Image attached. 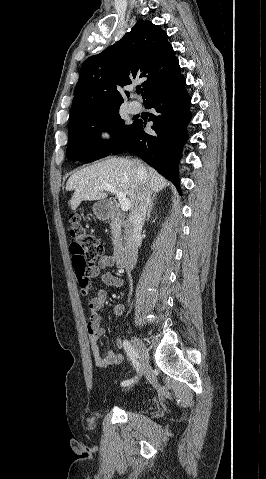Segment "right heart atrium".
<instances>
[{
	"mask_svg": "<svg viewBox=\"0 0 266 479\" xmlns=\"http://www.w3.org/2000/svg\"><path fill=\"white\" fill-rule=\"evenodd\" d=\"M98 136L102 142H108L112 139L113 134L109 129H103L99 132Z\"/></svg>",
	"mask_w": 266,
	"mask_h": 479,
	"instance_id": "1",
	"label": "right heart atrium"
}]
</instances>
